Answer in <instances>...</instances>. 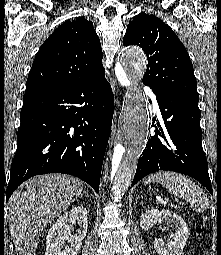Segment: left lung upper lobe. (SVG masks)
Listing matches in <instances>:
<instances>
[{
	"label": "left lung upper lobe",
	"instance_id": "left-lung-upper-lobe-1",
	"mask_svg": "<svg viewBox=\"0 0 221 255\" xmlns=\"http://www.w3.org/2000/svg\"><path fill=\"white\" fill-rule=\"evenodd\" d=\"M123 45L142 48L148 59L143 83L154 93L198 106L194 70L174 31L154 15L139 13L126 29Z\"/></svg>",
	"mask_w": 221,
	"mask_h": 255
}]
</instances>
